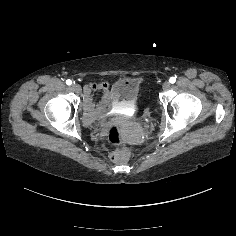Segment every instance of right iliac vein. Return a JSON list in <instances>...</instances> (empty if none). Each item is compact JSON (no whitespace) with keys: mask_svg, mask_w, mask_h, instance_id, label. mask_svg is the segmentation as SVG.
<instances>
[{"mask_svg":"<svg viewBox=\"0 0 236 236\" xmlns=\"http://www.w3.org/2000/svg\"><path fill=\"white\" fill-rule=\"evenodd\" d=\"M72 90L76 93H81V91H82L81 87L78 84H73Z\"/></svg>","mask_w":236,"mask_h":236,"instance_id":"1","label":"right iliac vein"}]
</instances>
